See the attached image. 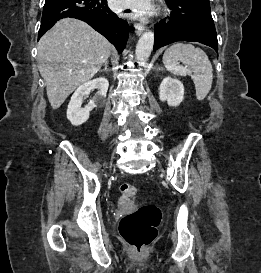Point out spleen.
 Segmentation results:
<instances>
[{"label":"spleen","mask_w":261,"mask_h":273,"mask_svg":"<svg viewBox=\"0 0 261 273\" xmlns=\"http://www.w3.org/2000/svg\"><path fill=\"white\" fill-rule=\"evenodd\" d=\"M183 65H179V62ZM165 68L176 76H191L199 101L208 95L213 81V69L206 53L189 43H176L163 55Z\"/></svg>","instance_id":"obj_1"}]
</instances>
